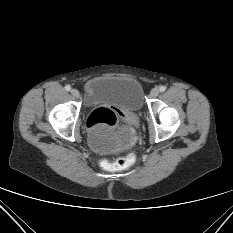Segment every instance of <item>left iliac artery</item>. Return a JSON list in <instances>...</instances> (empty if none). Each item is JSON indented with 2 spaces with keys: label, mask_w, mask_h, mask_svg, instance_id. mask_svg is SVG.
<instances>
[{
  "label": "left iliac artery",
  "mask_w": 233,
  "mask_h": 233,
  "mask_svg": "<svg viewBox=\"0 0 233 233\" xmlns=\"http://www.w3.org/2000/svg\"><path fill=\"white\" fill-rule=\"evenodd\" d=\"M159 90H160V92H164L166 90V87L165 86H160Z\"/></svg>",
  "instance_id": "left-iliac-artery-1"
}]
</instances>
